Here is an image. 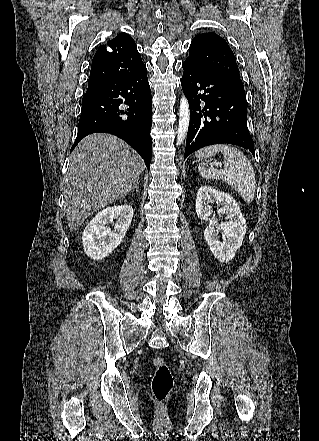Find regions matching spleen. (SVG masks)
<instances>
[{
    "mask_svg": "<svg viewBox=\"0 0 319 441\" xmlns=\"http://www.w3.org/2000/svg\"><path fill=\"white\" fill-rule=\"evenodd\" d=\"M217 152L224 156V169L214 167H198L201 176L206 179H219L225 181L248 203H251L255 197L256 177L253 166L249 159L236 147L220 144L202 148L196 152V157H212Z\"/></svg>",
    "mask_w": 319,
    "mask_h": 441,
    "instance_id": "1",
    "label": "spleen"
}]
</instances>
